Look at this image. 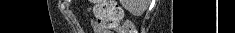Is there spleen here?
Listing matches in <instances>:
<instances>
[{
  "instance_id": "spleen-1",
  "label": "spleen",
  "mask_w": 235,
  "mask_h": 33,
  "mask_svg": "<svg viewBox=\"0 0 235 33\" xmlns=\"http://www.w3.org/2000/svg\"><path fill=\"white\" fill-rule=\"evenodd\" d=\"M145 8H146V4H145L144 6H142L141 8H139V9L137 10V12H142Z\"/></svg>"
}]
</instances>
